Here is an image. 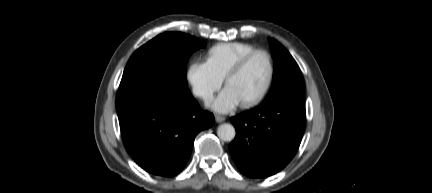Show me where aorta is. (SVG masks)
<instances>
[{
	"label": "aorta",
	"mask_w": 432,
	"mask_h": 193,
	"mask_svg": "<svg viewBox=\"0 0 432 193\" xmlns=\"http://www.w3.org/2000/svg\"><path fill=\"white\" fill-rule=\"evenodd\" d=\"M217 135L222 141H232L235 138L236 131L233 125L224 123L217 129Z\"/></svg>",
	"instance_id": "762f6f07"
}]
</instances>
